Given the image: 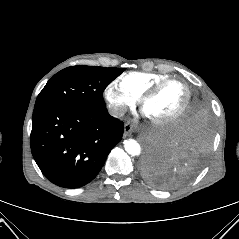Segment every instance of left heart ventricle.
Here are the masks:
<instances>
[{"instance_id": "left-heart-ventricle-1", "label": "left heart ventricle", "mask_w": 239, "mask_h": 239, "mask_svg": "<svg viewBox=\"0 0 239 239\" xmlns=\"http://www.w3.org/2000/svg\"><path fill=\"white\" fill-rule=\"evenodd\" d=\"M186 99V90L179 82L164 86L143 106L144 112L153 117H164L175 113Z\"/></svg>"}]
</instances>
